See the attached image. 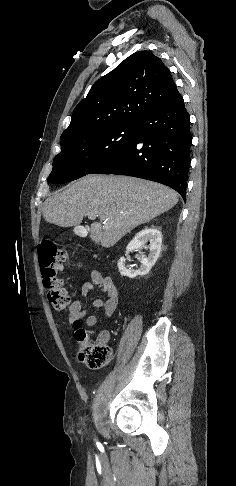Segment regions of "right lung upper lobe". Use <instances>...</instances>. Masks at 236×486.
<instances>
[{"label":"right lung upper lobe","mask_w":236,"mask_h":486,"mask_svg":"<svg viewBox=\"0 0 236 486\" xmlns=\"http://www.w3.org/2000/svg\"><path fill=\"white\" fill-rule=\"evenodd\" d=\"M169 69L150 51H139L97 80L75 107L61 142L116 125L136 123L151 109L180 100Z\"/></svg>","instance_id":"right-lung-upper-lobe-1"}]
</instances>
